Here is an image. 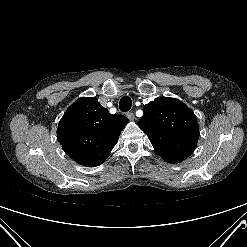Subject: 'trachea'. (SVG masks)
I'll return each instance as SVG.
<instances>
[{
	"label": "trachea",
	"instance_id": "1",
	"mask_svg": "<svg viewBox=\"0 0 247 247\" xmlns=\"http://www.w3.org/2000/svg\"><path fill=\"white\" fill-rule=\"evenodd\" d=\"M132 101L128 96H124L120 99L119 108L123 112H127L131 109Z\"/></svg>",
	"mask_w": 247,
	"mask_h": 247
}]
</instances>
